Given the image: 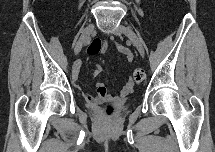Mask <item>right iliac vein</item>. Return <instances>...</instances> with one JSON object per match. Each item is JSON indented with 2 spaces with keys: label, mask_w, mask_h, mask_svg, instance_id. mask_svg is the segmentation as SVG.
Wrapping results in <instances>:
<instances>
[{
  "label": "right iliac vein",
  "mask_w": 215,
  "mask_h": 152,
  "mask_svg": "<svg viewBox=\"0 0 215 152\" xmlns=\"http://www.w3.org/2000/svg\"><path fill=\"white\" fill-rule=\"evenodd\" d=\"M94 33V25L93 24H89L86 26V28L82 31V34L79 38V40L77 41L76 45H75V49L74 52L75 54H79V52L81 51L84 43L89 39V37Z\"/></svg>",
  "instance_id": "right-iliac-vein-1"
}]
</instances>
